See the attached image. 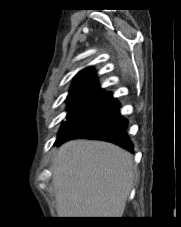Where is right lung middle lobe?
<instances>
[{
    "mask_svg": "<svg viewBox=\"0 0 181 227\" xmlns=\"http://www.w3.org/2000/svg\"><path fill=\"white\" fill-rule=\"evenodd\" d=\"M110 98L111 94L107 92L69 98L67 122L62 123L58 139L70 126L100 110Z\"/></svg>",
    "mask_w": 181,
    "mask_h": 227,
    "instance_id": "right-lung-middle-lobe-1",
    "label": "right lung middle lobe"
}]
</instances>
